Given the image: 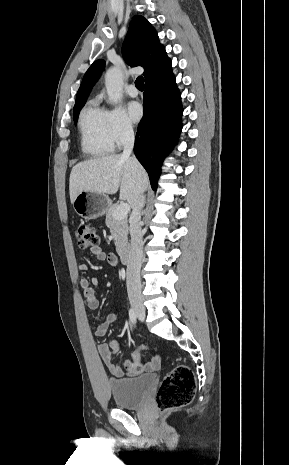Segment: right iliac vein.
Wrapping results in <instances>:
<instances>
[{"mask_svg": "<svg viewBox=\"0 0 289 465\" xmlns=\"http://www.w3.org/2000/svg\"><path fill=\"white\" fill-rule=\"evenodd\" d=\"M131 305L138 318L144 320L146 313L142 302L139 299H132Z\"/></svg>", "mask_w": 289, "mask_h": 465, "instance_id": "right-iliac-vein-1", "label": "right iliac vein"}]
</instances>
